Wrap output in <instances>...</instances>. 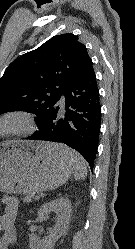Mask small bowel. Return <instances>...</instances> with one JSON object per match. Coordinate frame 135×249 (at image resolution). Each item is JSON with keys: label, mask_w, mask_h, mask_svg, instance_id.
Returning a JSON list of instances; mask_svg holds the SVG:
<instances>
[{"label": "small bowel", "mask_w": 135, "mask_h": 249, "mask_svg": "<svg viewBox=\"0 0 135 249\" xmlns=\"http://www.w3.org/2000/svg\"><path fill=\"white\" fill-rule=\"evenodd\" d=\"M2 202L5 208L4 213L0 215V230L3 232L0 237V249H8L17 236L15 221L18 215L19 201L15 197L5 196L2 198Z\"/></svg>", "instance_id": "1"}]
</instances>
